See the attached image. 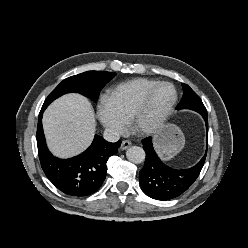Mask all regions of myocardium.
<instances>
[{
  "label": "myocardium",
  "mask_w": 248,
  "mask_h": 248,
  "mask_svg": "<svg viewBox=\"0 0 248 248\" xmlns=\"http://www.w3.org/2000/svg\"><path fill=\"white\" fill-rule=\"evenodd\" d=\"M168 86L173 90V98L166 109L149 122H144L145 115L150 107L151 101L160 87ZM178 93L175 86L170 82H158L151 87L138 106L132 113L130 124L132 129L140 135H151L157 132L168 120L177 103Z\"/></svg>",
  "instance_id": "1"
}]
</instances>
